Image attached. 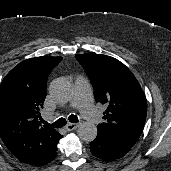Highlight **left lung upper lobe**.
Returning <instances> with one entry per match:
<instances>
[{
    "mask_svg": "<svg viewBox=\"0 0 171 171\" xmlns=\"http://www.w3.org/2000/svg\"><path fill=\"white\" fill-rule=\"evenodd\" d=\"M94 88L97 102L107 105L104 123L97 129L131 146L139 139L146 120L144 92L132 72L117 59L95 53L76 55Z\"/></svg>",
    "mask_w": 171,
    "mask_h": 171,
    "instance_id": "5c2ea615",
    "label": "left lung upper lobe"
}]
</instances>
